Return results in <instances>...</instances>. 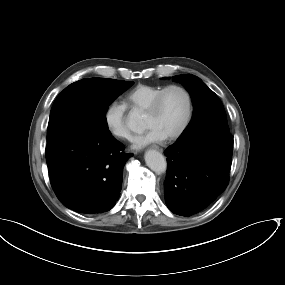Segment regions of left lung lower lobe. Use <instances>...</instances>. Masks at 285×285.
<instances>
[{
  "mask_svg": "<svg viewBox=\"0 0 285 285\" xmlns=\"http://www.w3.org/2000/svg\"><path fill=\"white\" fill-rule=\"evenodd\" d=\"M233 136L209 131L195 134L169 146L164 195L168 208L191 216L209 206L229 182Z\"/></svg>",
  "mask_w": 285,
  "mask_h": 285,
  "instance_id": "0a47b994",
  "label": "left lung lower lobe"
}]
</instances>
